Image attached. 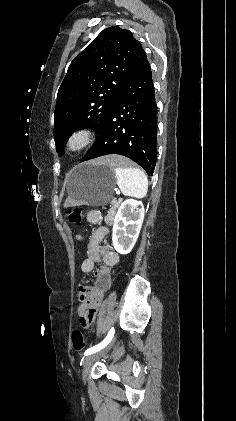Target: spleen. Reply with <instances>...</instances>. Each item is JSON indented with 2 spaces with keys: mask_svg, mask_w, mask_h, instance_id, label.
Instances as JSON below:
<instances>
[{
  "mask_svg": "<svg viewBox=\"0 0 236 421\" xmlns=\"http://www.w3.org/2000/svg\"><path fill=\"white\" fill-rule=\"evenodd\" d=\"M116 162L115 170L117 176V184L127 196H136V198H143L146 196L148 190V178L141 170V168H133V166H123Z\"/></svg>",
  "mask_w": 236,
  "mask_h": 421,
  "instance_id": "spleen-1",
  "label": "spleen"
}]
</instances>
